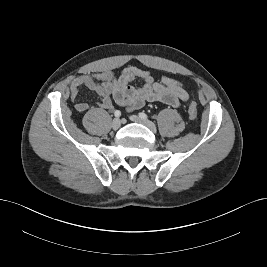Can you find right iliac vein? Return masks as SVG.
Returning a JSON list of instances; mask_svg holds the SVG:
<instances>
[{"instance_id":"obj_1","label":"right iliac vein","mask_w":267,"mask_h":267,"mask_svg":"<svg viewBox=\"0 0 267 267\" xmlns=\"http://www.w3.org/2000/svg\"><path fill=\"white\" fill-rule=\"evenodd\" d=\"M121 126V121L119 118H115L112 123H111V127L114 129V130H117L119 129Z\"/></svg>"}]
</instances>
